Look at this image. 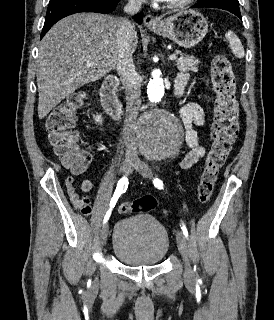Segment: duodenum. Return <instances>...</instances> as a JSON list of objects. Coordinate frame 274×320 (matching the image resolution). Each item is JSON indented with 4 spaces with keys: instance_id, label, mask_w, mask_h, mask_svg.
I'll list each match as a JSON object with an SVG mask.
<instances>
[{
    "instance_id": "obj_1",
    "label": "duodenum",
    "mask_w": 274,
    "mask_h": 320,
    "mask_svg": "<svg viewBox=\"0 0 274 320\" xmlns=\"http://www.w3.org/2000/svg\"><path fill=\"white\" fill-rule=\"evenodd\" d=\"M119 78H106L101 87V101L104 109L114 118H120L123 113L122 104L118 98Z\"/></svg>"
}]
</instances>
